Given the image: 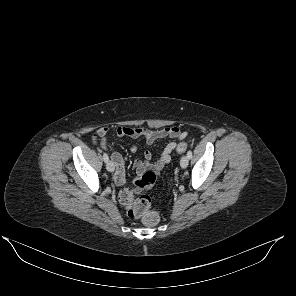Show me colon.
Listing matches in <instances>:
<instances>
[{
    "instance_id": "colon-1",
    "label": "colon",
    "mask_w": 296,
    "mask_h": 296,
    "mask_svg": "<svg viewBox=\"0 0 296 296\" xmlns=\"http://www.w3.org/2000/svg\"><path fill=\"white\" fill-rule=\"evenodd\" d=\"M189 147L186 142L177 145L176 151L184 153ZM156 182V173L152 170H146L140 174L134 181L137 189L150 190ZM119 200L127 209V213L132 218H140L143 224L147 226H155L159 222V214L151 207V200L148 196H142L134 199L133 193L129 189L120 192Z\"/></svg>"
}]
</instances>
